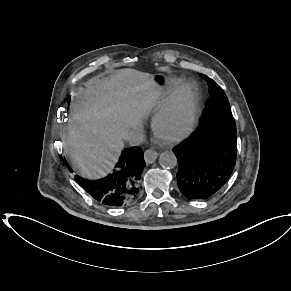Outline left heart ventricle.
<instances>
[{
	"label": "left heart ventricle",
	"instance_id": "1",
	"mask_svg": "<svg viewBox=\"0 0 291 291\" xmlns=\"http://www.w3.org/2000/svg\"><path fill=\"white\" fill-rule=\"evenodd\" d=\"M186 112L184 109H178L161 127V133L165 136H171L179 132L186 123Z\"/></svg>",
	"mask_w": 291,
	"mask_h": 291
}]
</instances>
